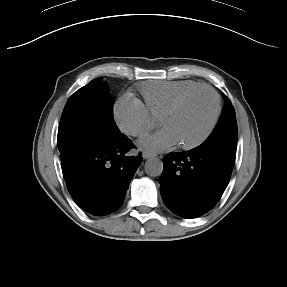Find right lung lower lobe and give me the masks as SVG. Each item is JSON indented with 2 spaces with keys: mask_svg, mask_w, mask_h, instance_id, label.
Listing matches in <instances>:
<instances>
[{
  "mask_svg": "<svg viewBox=\"0 0 287 287\" xmlns=\"http://www.w3.org/2000/svg\"><path fill=\"white\" fill-rule=\"evenodd\" d=\"M130 148L131 140L121 134L62 161L68 191L79 207L97 216L110 214L120 207L142 162L141 155H126Z\"/></svg>",
  "mask_w": 287,
  "mask_h": 287,
  "instance_id": "1",
  "label": "right lung lower lobe"
}]
</instances>
